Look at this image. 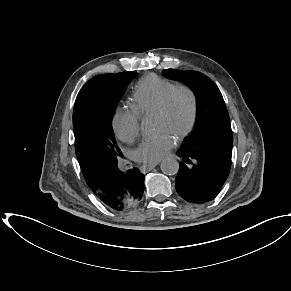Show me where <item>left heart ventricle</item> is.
<instances>
[{
	"label": "left heart ventricle",
	"mask_w": 291,
	"mask_h": 291,
	"mask_svg": "<svg viewBox=\"0 0 291 291\" xmlns=\"http://www.w3.org/2000/svg\"><path fill=\"white\" fill-rule=\"evenodd\" d=\"M190 118V104L187 96L179 93L175 98V107L170 118L156 116L155 123L159 132L167 131L174 135L186 126Z\"/></svg>",
	"instance_id": "left-heart-ventricle-1"
}]
</instances>
